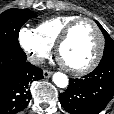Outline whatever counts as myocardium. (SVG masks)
Returning <instances> with one entry per match:
<instances>
[{"instance_id": "f54148a6", "label": "myocardium", "mask_w": 114, "mask_h": 114, "mask_svg": "<svg viewBox=\"0 0 114 114\" xmlns=\"http://www.w3.org/2000/svg\"><path fill=\"white\" fill-rule=\"evenodd\" d=\"M84 21L89 22L90 24L93 25V27L98 35V38H99V45H98L97 52L90 63H88L86 66L81 67V68H73V67L68 66L61 60V49H62L63 45L67 42V40L70 38L74 28L79 23L84 22ZM55 45H56V56H57L58 60L60 61V63L71 73H73L75 75H84V74H87V73L93 71L99 65V63L102 59L103 53H104V49H105V37L103 35L101 28L99 27V25L97 24L96 21H94L93 19L88 18V17H79V18L75 19L74 21L70 22L66 26V28L63 30V32L59 36Z\"/></svg>"}]
</instances>
